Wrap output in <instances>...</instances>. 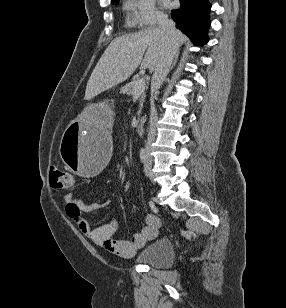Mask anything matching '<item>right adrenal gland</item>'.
I'll use <instances>...</instances> for the list:
<instances>
[{
  "label": "right adrenal gland",
  "mask_w": 286,
  "mask_h": 308,
  "mask_svg": "<svg viewBox=\"0 0 286 308\" xmlns=\"http://www.w3.org/2000/svg\"><path fill=\"white\" fill-rule=\"evenodd\" d=\"M178 57H179V52H178V53L176 54V56H175V59H174L172 68H173V67L175 66V64L177 63Z\"/></svg>",
  "instance_id": "right-adrenal-gland-1"
}]
</instances>
